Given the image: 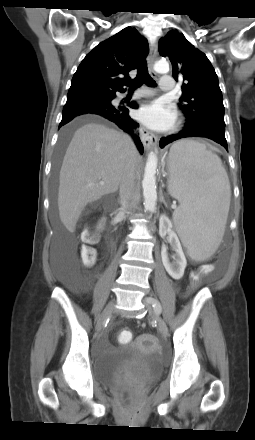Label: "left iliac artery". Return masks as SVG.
I'll return each instance as SVG.
<instances>
[{"label":"left iliac artery","mask_w":255,"mask_h":440,"mask_svg":"<svg viewBox=\"0 0 255 440\" xmlns=\"http://www.w3.org/2000/svg\"><path fill=\"white\" fill-rule=\"evenodd\" d=\"M148 301H149L150 304H152L154 310H155L157 313L160 314L161 311H162V308H161V305H160L159 301L156 300L155 298H152V297H149V298H148Z\"/></svg>","instance_id":"left-iliac-artery-1"}]
</instances>
